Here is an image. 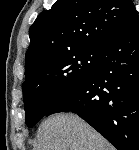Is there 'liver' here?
Returning a JSON list of instances; mask_svg holds the SVG:
<instances>
[{
	"instance_id": "liver-1",
	"label": "liver",
	"mask_w": 139,
	"mask_h": 150,
	"mask_svg": "<svg viewBox=\"0 0 139 150\" xmlns=\"http://www.w3.org/2000/svg\"><path fill=\"white\" fill-rule=\"evenodd\" d=\"M35 150H113L84 120L74 114H56L39 127Z\"/></svg>"
}]
</instances>
